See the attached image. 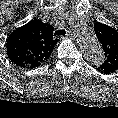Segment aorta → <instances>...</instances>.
<instances>
[{"instance_id": "obj_1", "label": "aorta", "mask_w": 118, "mask_h": 118, "mask_svg": "<svg viewBox=\"0 0 118 118\" xmlns=\"http://www.w3.org/2000/svg\"><path fill=\"white\" fill-rule=\"evenodd\" d=\"M74 32L85 58L94 65H101L105 60L104 52L92 29L84 22H77Z\"/></svg>"}]
</instances>
